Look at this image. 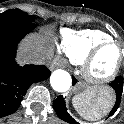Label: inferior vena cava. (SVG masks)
<instances>
[{
	"label": "inferior vena cava",
	"mask_w": 124,
	"mask_h": 124,
	"mask_svg": "<svg viewBox=\"0 0 124 124\" xmlns=\"http://www.w3.org/2000/svg\"><path fill=\"white\" fill-rule=\"evenodd\" d=\"M28 60L32 63L42 64L44 57H42L41 55H38V54H31L28 56Z\"/></svg>",
	"instance_id": "602c4592"
}]
</instances>
